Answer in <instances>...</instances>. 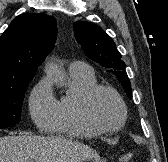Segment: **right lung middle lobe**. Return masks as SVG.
Instances as JSON below:
<instances>
[{
    "label": "right lung middle lobe",
    "instance_id": "dd1d6c3e",
    "mask_svg": "<svg viewBox=\"0 0 168 162\" xmlns=\"http://www.w3.org/2000/svg\"><path fill=\"white\" fill-rule=\"evenodd\" d=\"M32 79L0 85V128L19 123L24 95Z\"/></svg>",
    "mask_w": 168,
    "mask_h": 162
}]
</instances>
